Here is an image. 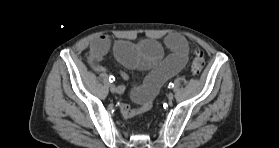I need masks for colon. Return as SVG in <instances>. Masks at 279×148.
<instances>
[{
    "mask_svg": "<svg viewBox=\"0 0 279 148\" xmlns=\"http://www.w3.org/2000/svg\"><path fill=\"white\" fill-rule=\"evenodd\" d=\"M205 58L204 53L196 48L193 50L192 62H191V71L194 76H199L204 68Z\"/></svg>",
    "mask_w": 279,
    "mask_h": 148,
    "instance_id": "5ec220e1",
    "label": "colon"
}]
</instances>
